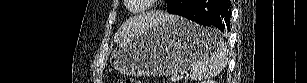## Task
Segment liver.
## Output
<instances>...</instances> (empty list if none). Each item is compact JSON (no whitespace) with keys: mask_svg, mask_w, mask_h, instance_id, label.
I'll return each instance as SVG.
<instances>
[{"mask_svg":"<svg viewBox=\"0 0 307 83\" xmlns=\"http://www.w3.org/2000/svg\"><path fill=\"white\" fill-rule=\"evenodd\" d=\"M171 18L172 15L156 12L127 21L116 33L114 41L124 43L138 36L148 25H156Z\"/></svg>","mask_w":307,"mask_h":83,"instance_id":"obj_1","label":"liver"}]
</instances>
